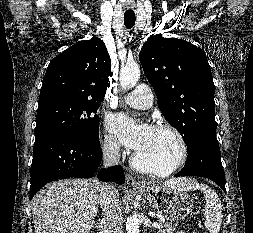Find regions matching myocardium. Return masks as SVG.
<instances>
[{
  "instance_id": "myocardium-1",
  "label": "myocardium",
  "mask_w": 253,
  "mask_h": 233,
  "mask_svg": "<svg viewBox=\"0 0 253 233\" xmlns=\"http://www.w3.org/2000/svg\"><path fill=\"white\" fill-rule=\"evenodd\" d=\"M153 129L167 131L175 137L180 148V154H179L178 160L169 168L160 169V168H156V167H153L141 162L135 153L132 156L131 163H132V166L136 170L141 171L143 173L161 176V177L168 176L176 172L177 170H179L181 167L185 165L188 159V154H189L188 144L183 134L181 133V131L177 129L175 126H173L172 124L158 123L153 127Z\"/></svg>"
}]
</instances>
